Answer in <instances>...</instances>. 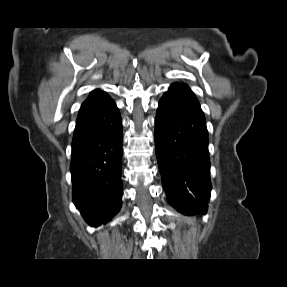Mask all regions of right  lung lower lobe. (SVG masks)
<instances>
[{
  "instance_id": "98d812e1",
  "label": "right lung lower lobe",
  "mask_w": 287,
  "mask_h": 287,
  "mask_svg": "<svg viewBox=\"0 0 287 287\" xmlns=\"http://www.w3.org/2000/svg\"><path fill=\"white\" fill-rule=\"evenodd\" d=\"M122 122L113 100L79 113L72 141L73 202L91 226L106 223L122 203Z\"/></svg>"
}]
</instances>
